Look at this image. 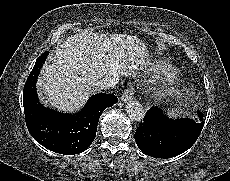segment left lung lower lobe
I'll return each mask as SVG.
<instances>
[{"mask_svg": "<svg viewBox=\"0 0 230 181\" xmlns=\"http://www.w3.org/2000/svg\"><path fill=\"white\" fill-rule=\"evenodd\" d=\"M190 119L171 120L157 107H151L135 133L139 149L154 158H171L187 151L197 140L204 126Z\"/></svg>", "mask_w": 230, "mask_h": 181, "instance_id": "0a47b994", "label": "left lung lower lobe"}]
</instances>
